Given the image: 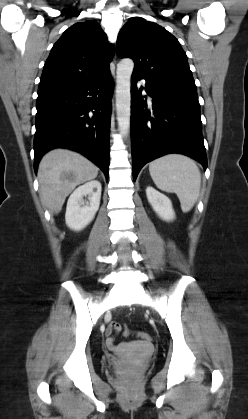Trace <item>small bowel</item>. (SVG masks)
<instances>
[{"label":"small bowel","mask_w":248,"mask_h":419,"mask_svg":"<svg viewBox=\"0 0 248 419\" xmlns=\"http://www.w3.org/2000/svg\"><path fill=\"white\" fill-rule=\"evenodd\" d=\"M107 344L110 348L117 350L118 349V345L115 343L114 338L112 336H110L107 339Z\"/></svg>","instance_id":"obj_1"}]
</instances>
